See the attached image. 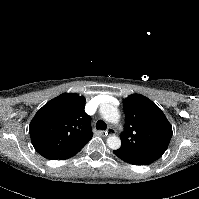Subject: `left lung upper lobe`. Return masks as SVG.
<instances>
[{
    "mask_svg": "<svg viewBox=\"0 0 199 199\" xmlns=\"http://www.w3.org/2000/svg\"><path fill=\"white\" fill-rule=\"evenodd\" d=\"M123 108L126 121L118 150L156 161L168 148L172 125L162 110L143 95H130L124 99Z\"/></svg>",
    "mask_w": 199,
    "mask_h": 199,
    "instance_id": "5c2ea615",
    "label": "left lung upper lobe"
}]
</instances>
